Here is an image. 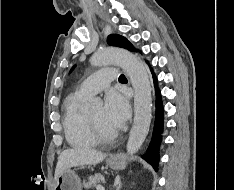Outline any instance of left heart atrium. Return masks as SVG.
Segmentation results:
<instances>
[{
  "instance_id": "1",
  "label": "left heart atrium",
  "mask_w": 234,
  "mask_h": 190,
  "mask_svg": "<svg viewBox=\"0 0 234 190\" xmlns=\"http://www.w3.org/2000/svg\"><path fill=\"white\" fill-rule=\"evenodd\" d=\"M105 119L115 129L121 128L129 118L130 107L127 98L116 91H110L105 98Z\"/></svg>"
}]
</instances>
